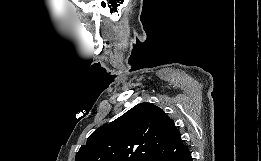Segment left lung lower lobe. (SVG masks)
Wrapping results in <instances>:
<instances>
[{"instance_id": "obj_1", "label": "left lung lower lobe", "mask_w": 261, "mask_h": 161, "mask_svg": "<svg viewBox=\"0 0 261 161\" xmlns=\"http://www.w3.org/2000/svg\"><path fill=\"white\" fill-rule=\"evenodd\" d=\"M149 161H193L187 145H184L178 130L170 141L152 153Z\"/></svg>"}]
</instances>
